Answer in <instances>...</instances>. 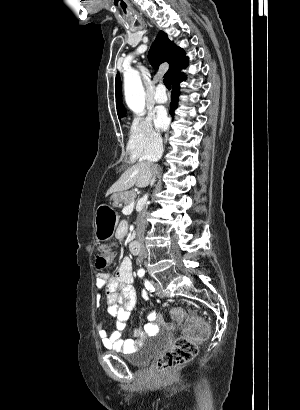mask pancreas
<instances>
[{
	"mask_svg": "<svg viewBox=\"0 0 300 410\" xmlns=\"http://www.w3.org/2000/svg\"><path fill=\"white\" fill-rule=\"evenodd\" d=\"M135 195L136 194L133 191L120 193L115 206L121 207L122 204L127 205V204L131 203L132 200L135 198Z\"/></svg>",
	"mask_w": 300,
	"mask_h": 410,
	"instance_id": "pancreas-1",
	"label": "pancreas"
}]
</instances>
